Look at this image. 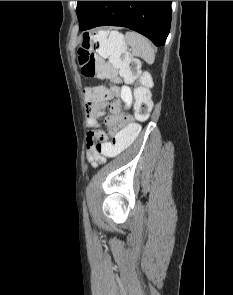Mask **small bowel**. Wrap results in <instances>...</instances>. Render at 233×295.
<instances>
[{
  "mask_svg": "<svg viewBox=\"0 0 233 295\" xmlns=\"http://www.w3.org/2000/svg\"><path fill=\"white\" fill-rule=\"evenodd\" d=\"M133 95L128 85H122L116 92L108 90L106 95L100 97H86V124L94 130L87 133L86 160L96 167L106 160V155L99 152L94 143H108L107 133L101 129L99 120L104 117V123L111 131L118 130L128 123L133 117L129 110L132 106ZM105 110L108 115L105 116Z\"/></svg>",
  "mask_w": 233,
  "mask_h": 295,
  "instance_id": "obj_1",
  "label": "small bowel"
}]
</instances>
